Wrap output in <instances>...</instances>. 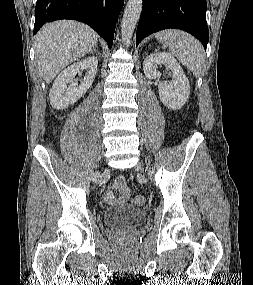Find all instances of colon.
<instances>
[{"mask_svg":"<svg viewBox=\"0 0 253 285\" xmlns=\"http://www.w3.org/2000/svg\"><path fill=\"white\" fill-rule=\"evenodd\" d=\"M145 202H146V198L143 195H136L132 199V203L136 206H142L145 204Z\"/></svg>","mask_w":253,"mask_h":285,"instance_id":"5ec220e1","label":"colon"}]
</instances>
